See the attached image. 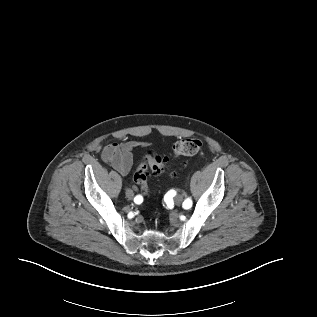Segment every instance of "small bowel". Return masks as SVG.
Returning a JSON list of instances; mask_svg holds the SVG:
<instances>
[{
  "mask_svg": "<svg viewBox=\"0 0 317 317\" xmlns=\"http://www.w3.org/2000/svg\"><path fill=\"white\" fill-rule=\"evenodd\" d=\"M139 146H141V143L134 140L112 143L103 148L101 158L120 174L126 175L133 164V152ZM127 191L129 196L132 194L134 196V192L131 189Z\"/></svg>",
  "mask_w": 317,
  "mask_h": 317,
  "instance_id": "1",
  "label": "small bowel"
}]
</instances>
